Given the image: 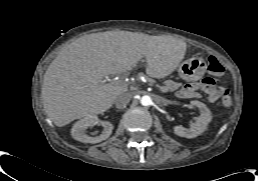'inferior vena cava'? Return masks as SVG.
Masks as SVG:
<instances>
[{
    "label": "inferior vena cava",
    "instance_id": "1",
    "mask_svg": "<svg viewBox=\"0 0 258 181\" xmlns=\"http://www.w3.org/2000/svg\"><path fill=\"white\" fill-rule=\"evenodd\" d=\"M132 95L131 93L125 92L120 94L114 101L116 108H123L125 107L131 100Z\"/></svg>",
    "mask_w": 258,
    "mask_h": 181
}]
</instances>
